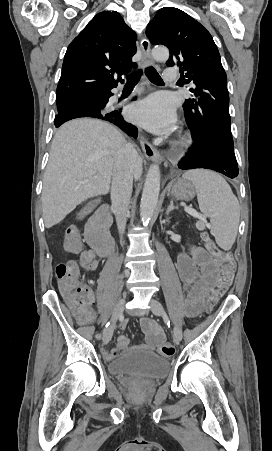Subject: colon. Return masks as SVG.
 I'll list each match as a JSON object with an SVG mask.
<instances>
[{
  "instance_id": "colon-1",
  "label": "colon",
  "mask_w": 272,
  "mask_h": 451,
  "mask_svg": "<svg viewBox=\"0 0 272 451\" xmlns=\"http://www.w3.org/2000/svg\"><path fill=\"white\" fill-rule=\"evenodd\" d=\"M205 235V234H204ZM63 247L67 256H77L82 247L79 230H65L62 237ZM209 251L216 257L221 267L214 272L213 289L209 296V301L214 304L232 284L235 276L236 262L234 256L229 251H222L214 244L208 246ZM77 259L59 263L55 268L58 278L59 289L62 290L66 302L71 303L72 310H87L92 294L88 293V288H81L82 282L79 277ZM160 349L165 356L174 353V346L170 342H161Z\"/></svg>"
}]
</instances>
